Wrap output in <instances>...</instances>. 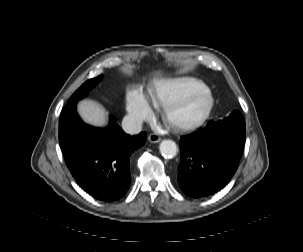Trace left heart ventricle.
Instances as JSON below:
<instances>
[{
    "label": "left heart ventricle",
    "mask_w": 303,
    "mask_h": 252,
    "mask_svg": "<svg viewBox=\"0 0 303 252\" xmlns=\"http://www.w3.org/2000/svg\"><path fill=\"white\" fill-rule=\"evenodd\" d=\"M196 111V107H190V108H187L185 110H183L179 116L180 117H185V116H188L190 114H193L194 112Z\"/></svg>",
    "instance_id": "1"
}]
</instances>
